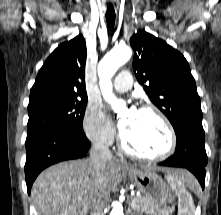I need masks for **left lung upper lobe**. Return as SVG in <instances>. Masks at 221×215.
Returning a JSON list of instances; mask_svg holds the SVG:
<instances>
[{"label": "left lung upper lobe", "mask_w": 221, "mask_h": 215, "mask_svg": "<svg viewBox=\"0 0 221 215\" xmlns=\"http://www.w3.org/2000/svg\"><path fill=\"white\" fill-rule=\"evenodd\" d=\"M133 70L151 101L167 116L175 132L184 123H202L195 80L184 56L145 31L130 39Z\"/></svg>", "instance_id": "obj_1"}]
</instances>
